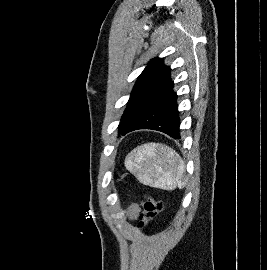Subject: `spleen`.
Listing matches in <instances>:
<instances>
[{
  "instance_id": "obj_1",
  "label": "spleen",
  "mask_w": 267,
  "mask_h": 270,
  "mask_svg": "<svg viewBox=\"0 0 267 270\" xmlns=\"http://www.w3.org/2000/svg\"><path fill=\"white\" fill-rule=\"evenodd\" d=\"M126 169L147 186L163 190L184 188L185 165L172 148L161 143H146L132 150L125 159Z\"/></svg>"
}]
</instances>
